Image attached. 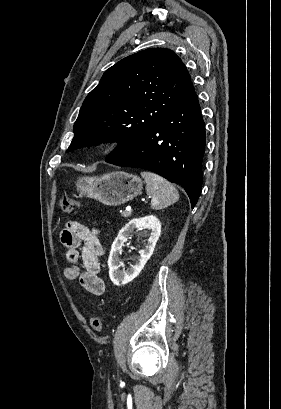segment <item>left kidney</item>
<instances>
[{
	"mask_svg": "<svg viewBox=\"0 0 281 409\" xmlns=\"http://www.w3.org/2000/svg\"><path fill=\"white\" fill-rule=\"evenodd\" d=\"M134 229H148L147 235L149 237L145 249L139 251L140 257H138L135 265L130 269H123L120 271L119 267V255L124 243H126L129 235L133 233ZM161 223L154 215H148V217H140V219H132L129 221L121 231H119L110 251L108 259L109 277L117 287L126 285L133 281L140 271H142L144 265H146L148 259L153 255L155 245L160 237Z\"/></svg>",
	"mask_w": 281,
	"mask_h": 409,
	"instance_id": "1",
	"label": "left kidney"
}]
</instances>
